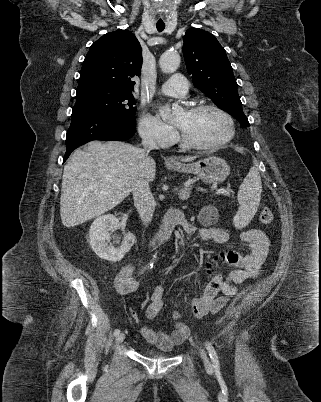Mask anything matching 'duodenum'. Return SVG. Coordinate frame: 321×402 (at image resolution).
<instances>
[{
    "mask_svg": "<svg viewBox=\"0 0 321 402\" xmlns=\"http://www.w3.org/2000/svg\"><path fill=\"white\" fill-rule=\"evenodd\" d=\"M185 222V216L179 209H172L167 214L160 230L153 239V245L158 246L169 240L177 226Z\"/></svg>",
    "mask_w": 321,
    "mask_h": 402,
    "instance_id": "410a0bca",
    "label": "duodenum"
}]
</instances>
